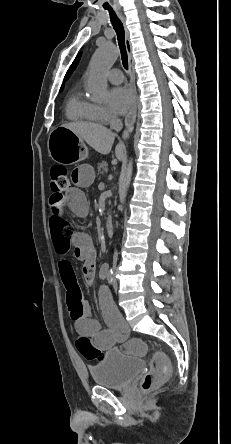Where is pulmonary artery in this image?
Instances as JSON below:
<instances>
[{"mask_svg": "<svg viewBox=\"0 0 231 444\" xmlns=\"http://www.w3.org/2000/svg\"><path fill=\"white\" fill-rule=\"evenodd\" d=\"M108 79L113 84H120L124 80V76L121 70L112 69L108 72Z\"/></svg>", "mask_w": 231, "mask_h": 444, "instance_id": "e3ab8cb5", "label": "pulmonary artery"}]
</instances>
